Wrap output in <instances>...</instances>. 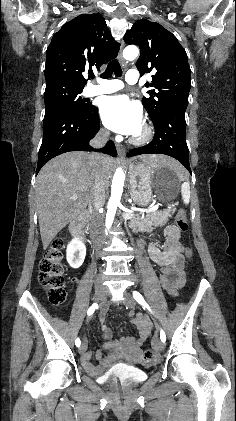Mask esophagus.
Returning <instances> with one entry per match:
<instances>
[{
  "mask_svg": "<svg viewBox=\"0 0 236 421\" xmlns=\"http://www.w3.org/2000/svg\"><path fill=\"white\" fill-rule=\"evenodd\" d=\"M123 48H124V41L121 42L118 58L121 61V63L126 67V62H125V60L123 58V55H122ZM116 148H117L119 158L121 160H125L126 150H125L124 146L120 145V144H116Z\"/></svg>",
  "mask_w": 236,
  "mask_h": 421,
  "instance_id": "34e87169",
  "label": "esophagus"
}]
</instances>
